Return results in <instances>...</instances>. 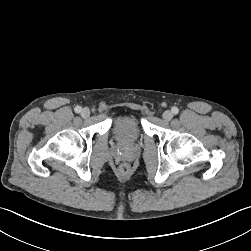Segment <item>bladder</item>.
<instances>
[{
	"label": "bladder",
	"mask_w": 251,
	"mask_h": 251,
	"mask_svg": "<svg viewBox=\"0 0 251 251\" xmlns=\"http://www.w3.org/2000/svg\"><path fill=\"white\" fill-rule=\"evenodd\" d=\"M113 133L121 143H132L141 135V125L137 117L126 114L117 118L113 125Z\"/></svg>",
	"instance_id": "obj_1"
}]
</instances>
